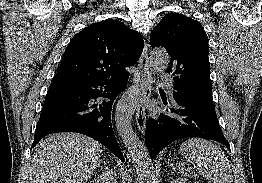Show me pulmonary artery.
I'll list each match as a JSON object with an SVG mask.
<instances>
[{
    "label": "pulmonary artery",
    "instance_id": "obj_1",
    "mask_svg": "<svg viewBox=\"0 0 262 183\" xmlns=\"http://www.w3.org/2000/svg\"><path fill=\"white\" fill-rule=\"evenodd\" d=\"M160 81L166 85V87L169 89L170 92L173 91V83L172 80L169 77H161Z\"/></svg>",
    "mask_w": 262,
    "mask_h": 183
}]
</instances>
